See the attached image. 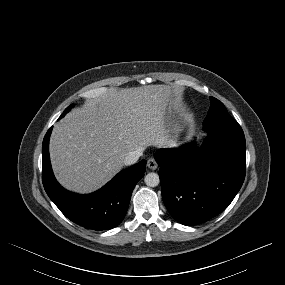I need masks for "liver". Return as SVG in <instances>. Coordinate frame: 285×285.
Segmentation results:
<instances>
[{
	"mask_svg": "<svg viewBox=\"0 0 285 285\" xmlns=\"http://www.w3.org/2000/svg\"><path fill=\"white\" fill-rule=\"evenodd\" d=\"M171 108L166 85L111 90L88 99L54 126L50 156L57 180L78 193L100 188L131 152L167 145Z\"/></svg>",
	"mask_w": 285,
	"mask_h": 285,
	"instance_id": "6515ba94",
	"label": "liver"
}]
</instances>
